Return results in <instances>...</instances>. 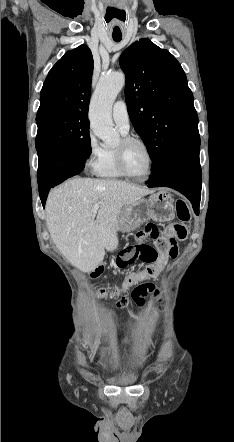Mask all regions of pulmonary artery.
I'll return each instance as SVG.
<instances>
[{
	"mask_svg": "<svg viewBox=\"0 0 234 442\" xmlns=\"http://www.w3.org/2000/svg\"><path fill=\"white\" fill-rule=\"evenodd\" d=\"M113 119L123 134H127L130 128L129 114L125 101L118 100L114 103L112 109Z\"/></svg>",
	"mask_w": 234,
	"mask_h": 442,
	"instance_id": "e3ab8cb5",
	"label": "pulmonary artery"
}]
</instances>
